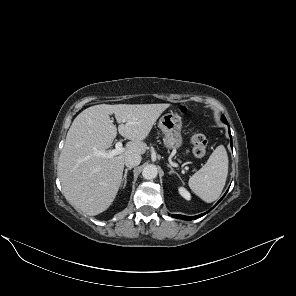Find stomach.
Masks as SVG:
<instances>
[{
    "mask_svg": "<svg viewBox=\"0 0 296 296\" xmlns=\"http://www.w3.org/2000/svg\"><path fill=\"white\" fill-rule=\"evenodd\" d=\"M158 126L164 134V145L168 149H178L182 146V121L177 113L170 112L164 114L160 118Z\"/></svg>",
    "mask_w": 296,
    "mask_h": 296,
    "instance_id": "stomach-1",
    "label": "stomach"
}]
</instances>
